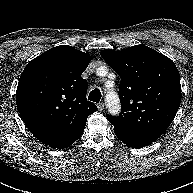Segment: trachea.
<instances>
[{"label":"trachea","mask_w":193,"mask_h":193,"mask_svg":"<svg viewBox=\"0 0 193 193\" xmlns=\"http://www.w3.org/2000/svg\"><path fill=\"white\" fill-rule=\"evenodd\" d=\"M101 99V91L98 88L92 90L88 96V100L99 103Z\"/></svg>","instance_id":"trachea-1"}]
</instances>
